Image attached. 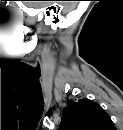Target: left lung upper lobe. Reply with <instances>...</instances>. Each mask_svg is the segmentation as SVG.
I'll list each match as a JSON object with an SVG mask.
<instances>
[{"instance_id": "5c2ea615", "label": "left lung upper lobe", "mask_w": 123, "mask_h": 130, "mask_svg": "<svg viewBox=\"0 0 123 130\" xmlns=\"http://www.w3.org/2000/svg\"><path fill=\"white\" fill-rule=\"evenodd\" d=\"M62 118L68 130H108L112 127L109 116L89 99L71 100Z\"/></svg>"}]
</instances>
